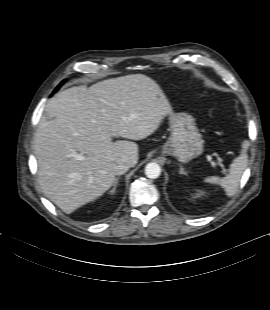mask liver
<instances>
[{
    "instance_id": "obj_1",
    "label": "liver",
    "mask_w": 270,
    "mask_h": 310,
    "mask_svg": "<svg viewBox=\"0 0 270 310\" xmlns=\"http://www.w3.org/2000/svg\"><path fill=\"white\" fill-rule=\"evenodd\" d=\"M45 112L34 138L38 181L45 196L70 214L114 185L118 161L137 164L138 145L112 139L142 140L172 109L153 79L132 74L64 90Z\"/></svg>"
}]
</instances>
